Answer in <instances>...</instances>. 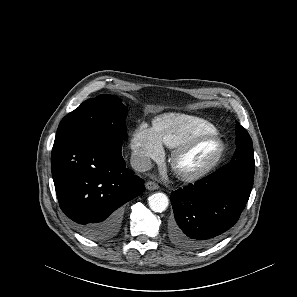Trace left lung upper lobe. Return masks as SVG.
Masks as SVG:
<instances>
[{
  "instance_id": "5c2ea615",
  "label": "left lung upper lobe",
  "mask_w": 297,
  "mask_h": 297,
  "mask_svg": "<svg viewBox=\"0 0 297 297\" xmlns=\"http://www.w3.org/2000/svg\"><path fill=\"white\" fill-rule=\"evenodd\" d=\"M236 151L233 160H254L252 140L248 132L237 122L236 124Z\"/></svg>"
}]
</instances>
